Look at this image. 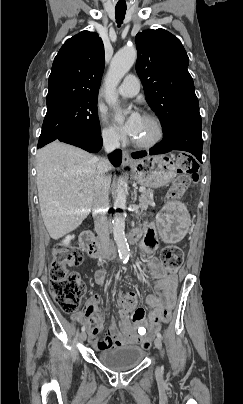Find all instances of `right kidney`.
Here are the masks:
<instances>
[{
	"instance_id": "right-kidney-1",
	"label": "right kidney",
	"mask_w": 243,
	"mask_h": 404,
	"mask_svg": "<svg viewBox=\"0 0 243 404\" xmlns=\"http://www.w3.org/2000/svg\"><path fill=\"white\" fill-rule=\"evenodd\" d=\"M75 236H66L65 240H63L62 244L64 246H68L70 244L71 240H74Z\"/></svg>"
}]
</instances>
